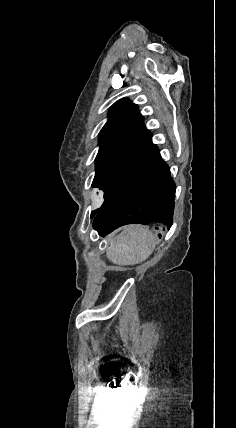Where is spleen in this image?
Listing matches in <instances>:
<instances>
[{"instance_id":"obj_1","label":"spleen","mask_w":236,"mask_h":428,"mask_svg":"<svg viewBox=\"0 0 236 428\" xmlns=\"http://www.w3.org/2000/svg\"><path fill=\"white\" fill-rule=\"evenodd\" d=\"M156 238L147 226H125L123 232L111 240L107 258L118 266L141 264L152 254Z\"/></svg>"}]
</instances>
